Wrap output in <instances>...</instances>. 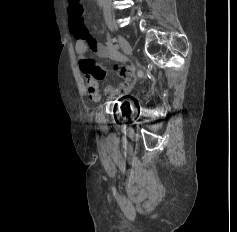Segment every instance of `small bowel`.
<instances>
[{"instance_id": "1", "label": "small bowel", "mask_w": 237, "mask_h": 232, "mask_svg": "<svg viewBox=\"0 0 237 232\" xmlns=\"http://www.w3.org/2000/svg\"><path fill=\"white\" fill-rule=\"evenodd\" d=\"M75 37V50L79 58V67L83 73L87 94L93 101H98L101 98L99 81L102 80L107 72L97 65L95 61L88 56L89 52L97 54L101 58H109L113 60H120L119 52L114 49L111 43L102 44L93 38L88 30L78 34L73 31ZM113 71L122 77V82L117 86H108L106 94L110 98L121 97L129 93L135 82L134 71L127 66H114Z\"/></svg>"}]
</instances>
